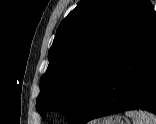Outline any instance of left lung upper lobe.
<instances>
[{"instance_id":"5c2ea615","label":"left lung upper lobe","mask_w":156,"mask_h":124,"mask_svg":"<svg viewBox=\"0 0 156 124\" xmlns=\"http://www.w3.org/2000/svg\"><path fill=\"white\" fill-rule=\"evenodd\" d=\"M156 17L148 0H82L62 21L49 50L36 108L79 124L129 44Z\"/></svg>"}]
</instances>
